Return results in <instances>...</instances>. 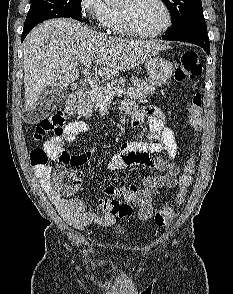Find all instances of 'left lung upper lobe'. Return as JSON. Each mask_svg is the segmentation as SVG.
<instances>
[{
	"label": "left lung upper lobe",
	"instance_id": "1",
	"mask_svg": "<svg viewBox=\"0 0 233 294\" xmlns=\"http://www.w3.org/2000/svg\"><path fill=\"white\" fill-rule=\"evenodd\" d=\"M168 7L172 28L167 34L186 30H207L201 0H163Z\"/></svg>",
	"mask_w": 233,
	"mask_h": 294
}]
</instances>
